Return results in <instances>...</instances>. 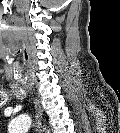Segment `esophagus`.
I'll return each instance as SVG.
<instances>
[{
  "label": "esophagus",
  "instance_id": "esophagus-1",
  "mask_svg": "<svg viewBox=\"0 0 120 133\" xmlns=\"http://www.w3.org/2000/svg\"><path fill=\"white\" fill-rule=\"evenodd\" d=\"M35 107H36V124L38 126V128L40 129V125H41V110H40V106H39V102L37 99H35ZM41 130V129H40Z\"/></svg>",
  "mask_w": 120,
  "mask_h": 133
}]
</instances>
